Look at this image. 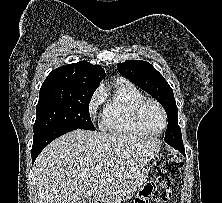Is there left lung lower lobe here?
<instances>
[{"mask_svg": "<svg viewBox=\"0 0 222 203\" xmlns=\"http://www.w3.org/2000/svg\"><path fill=\"white\" fill-rule=\"evenodd\" d=\"M169 145L181 152L183 155H185L183 143H170Z\"/></svg>", "mask_w": 222, "mask_h": 203, "instance_id": "left-lung-lower-lobe-1", "label": "left lung lower lobe"}]
</instances>
